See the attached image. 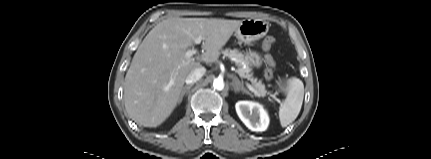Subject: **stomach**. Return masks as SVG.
I'll list each match as a JSON object with an SVG mask.
<instances>
[{
    "mask_svg": "<svg viewBox=\"0 0 431 159\" xmlns=\"http://www.w3.org/2000/svg\"><path fill=\"white\" fill-rule=\"evenodd\" d=\"M269 30V23L262 19L249 18L241 21L240 25L234 31L235 37L238 41L248 45H252L262 37H264ZM246 60L249 65L260 67L262 65V56L253 50L246 53ZM279 87L282 89H289L292 83L289 80L279 81Z\"/></svg>",
    "mask_w": 431,
    "mask_h": 159,
    "instance_id": "obj_1",
    "label": "stomach"
}]
</instances>
